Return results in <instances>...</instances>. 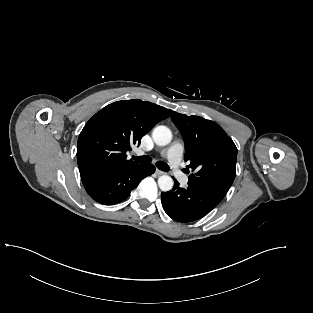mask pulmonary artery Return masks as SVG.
Masks as SVG:
<instances>
[{
	"label": "pulmonary artery",
	"mask_w": 313,
	"mask_h": 313,
	"mask_svg": "<svg viewBox=\"0 0 313 313\" xmlns=\"http://www.w3.org/2000/svg\"><path fill=\"white\" fill-rule=\"evenodd\" d=\"M183 150L184 147L180 142H174L168 149H166L162 153V155L168 159L174 176L179 180L182 185H186L189 181V178L181 171L180 168Z\"/></svg>",
	"instance_id": "1"
}]
</instances>
